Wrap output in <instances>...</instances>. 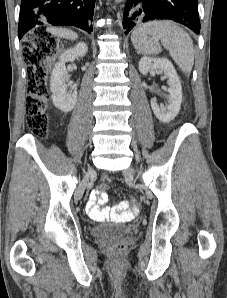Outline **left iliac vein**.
<instances>
[{"label": "left iliac vein", "instance_id": "left-iliac-vein-1", "mask_svg": "<svg viewBox=\"0 0 227 298\" xmlns=\"http://www.w3.org/2000/svg\"><path fill=\"white\" fill-rule=\"evenodd\" d=\"M131 172H132V170L125 171L126 174H130Z\"/></svg>", "mask_w": 227, "mask_h": 298}]
</instances>
